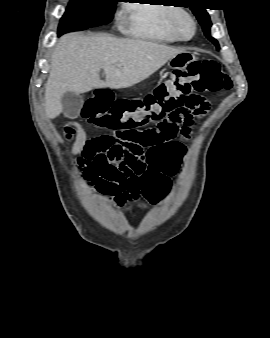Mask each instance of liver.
<instances>
[{
  "instance_id": "obj_1",
  "label": "liver",
  "mask_w": 270,
  "mask_h": 338,
  "mask_svg": "<svg viewBox=\"0 0 270 338\" xmlns=\"http://www.w3.org/2000/svg\"><path fill=\"white\" fill-rule=\"evenodd\" d=\"M184 49L141 39L110 35L62 36L51 57L45 86V113L53 119L62 112L66 92L81 94L94 88H127L143 81ZM103 69L105 80L99 73Z\"/></svg>"
}]
</instances>
